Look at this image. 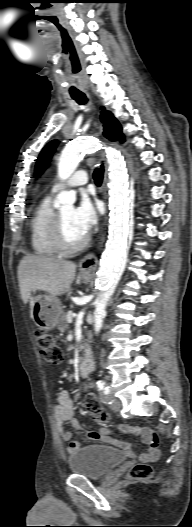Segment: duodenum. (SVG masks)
I'll list each match as a JSON object with an SVG mask.
<instances>
[{
  "label": "duodenum",
  "instance_id": "obj_1",
  "mask_svg": "<svg viewBox=\"0 0 192 527\" xmlns=\"http://www.w3.org/2000/svg\"><path fill=\"white\" fill-rule=\"evenodd\" d=\"M93 369V361L89 352H86L79 363V372L82 377H87Z\"/></svg>",
  "mask_w": 192,
  "mask_h": 527
}]
</instances>
